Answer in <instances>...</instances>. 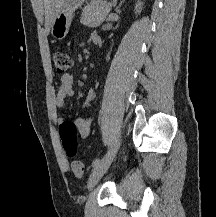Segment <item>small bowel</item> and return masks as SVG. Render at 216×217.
<instances>
[{"label": "small bowel", "instance_id": "small-bowel-1", "mask_svg": "<svg viewBox=\"0 0 216 217\" xmlns=\"http://www.w3.org/2000/svg\"><path fill=\"white\" fill-rule=\"evenodd\" d=\"M95 35L99 36L97 33H93L91 35V38H93V36ZM73 83L74 81H73L72 74L67 73L61 77V84L54 98V105L57 108H62L64 106L66 98L74 96L75 92L73 88ZM94 97H95V90L92 88L88 91L85 97L84 104H83L84 108H88L90 106V103L94 99ZM56 121L59 128L61 129L65 120L62 117H57ZM75 126L77 130V135L80 139H85L89 136L90 126H91L90 118L84 116L79 117L75 121Z\"/></svg>", "mask_w": 216, "mask_h": 217}]
</instances>
